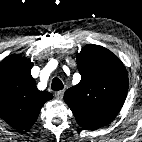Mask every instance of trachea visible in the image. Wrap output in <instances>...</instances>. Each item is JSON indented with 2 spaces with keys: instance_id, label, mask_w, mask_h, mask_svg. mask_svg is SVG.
<instances>
[{
  "instance_id": "obj_1",
  "label": "trachea",
  "mask_w": 142,
  "mask_h": 142,
  "mask_svg": "<svg viewBox=\"0 0 142 142\" xmlns=\"http://www.w3.org/2000/svg\"><path fill=\"white\" fill-rule=\"evenodd\" d=\"M52 90H62L64 88V85L62 81L59 78H54L52 80V85H51Z\"/></svg>"
}]
</instances>
